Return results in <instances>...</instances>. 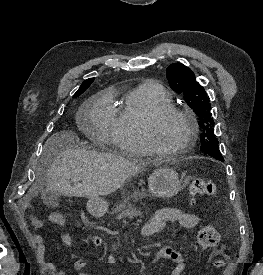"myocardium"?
<instances>
[{"mask_svg": "<svg viewBox=\"0 0 263 275\" xmlns=\"http://www.w3.org/2000/svg\"><path fill=\"white\" fill-rule=\"evenodd\" d=\"M172 115L179 116L187 121L189 134L184 144L176 149L168 150L157 144L155 140V128L162 119ZM198 130V123L193 114L188 110L173 105H165L153 110L146 116L143 123V136L148 148L151 153L160 156H176L188 151L197 139Z\"/></svg>", "mask_w": 263, "mask_h": 275, "instance_id": "f54148a6", "label": "myocardium"}]
</instances>
